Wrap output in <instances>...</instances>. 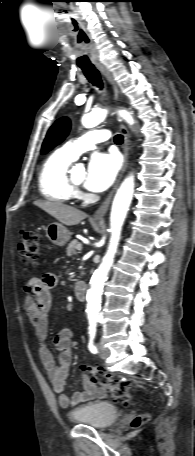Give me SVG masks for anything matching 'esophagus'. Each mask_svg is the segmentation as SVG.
I'll list each match as a JSON object with an SVG mask.
<instances>
[{
    "instance_id": "1",
    "label": "esophagus",
    "mask_w": 195,
    "mask_h": 456,
    "mask_svg": "<svg viewBox=\"0 0 195 456\" xmlns=\"http://www.w3.org/2000/svg\"><path fill=\"white\" fill-rule=\"evenodd\" d=\"M97 68L99 69V71L101 72L103 77L107 80V82L111 85L113 93H114V97L117 100L118 97H119V90H118V87H117L116 83L114 82L111 74L102 65H98ZM119 121H120V130H121V132L123 134V137H124V142H123V146H122L123 156H124V164H123L121 173H120V175H119V177H118V179L116 181V184L114 185V188L109 193V195L104 200V202L99 207V209L93 214L92 218L94 220H102L104 218L105 214L108 211V208H109V205H110L111 200L113 198V195H114L115 191L117 190V188L119 186V183H120V181H121V179H122V177H123V175H124V173H125V171L127 169V166H128L129 132H128V129L126 128V126L121 123V119H119Z\"/></svg>"
}]
</instances>
